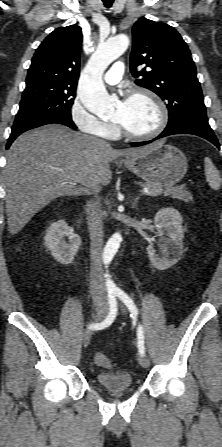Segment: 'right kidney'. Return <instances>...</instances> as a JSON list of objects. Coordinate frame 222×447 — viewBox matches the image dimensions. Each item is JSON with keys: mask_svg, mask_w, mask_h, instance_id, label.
Returning <instances> with one entry per match:
<instances>
[{"mask_svg": "<svg viewBox=\"0 0 222 447\" xmlns=\"http://www.w3.org/2000/svg\"><path fill=\"white\" fill-rule=\"evenodd\" d=\"M65 237H68L69 243H66ZM44 243L55 260L68 265L73 262L81 246V238L73 232L64 220H59L47 229Z\"/></svg>", "mask_w": 222, "mask_h": 447, "instance_id": "obj_1", "label": "right kidney"}]
</instances>
